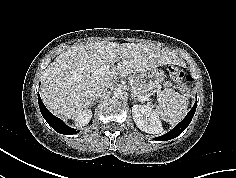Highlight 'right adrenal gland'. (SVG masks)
Instances as JSON below:
<instances>
[{
  "label": "right adrenal gland",
  "instance_id": "1",
  "mask_svg": "<svg viewBox=\"0 0 236 178\" xmlns=\"http://www.w3.org/2000/svg\"><path fill=\"white\" fill-rule=\"evenodd\" d=\"M98 98H99V97H94V98L92 99V101H91V104H94V103L97 101Z\"/></svg>",
  "mask_w": 236,
  "mask_h": 178
}]
</instances>
